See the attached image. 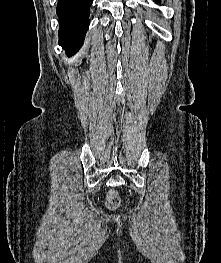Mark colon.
Masks as SVG:
<instances>
[{
  "instance_id": "colon-1",
  "label": "colon",
  "mask_w": 221,
  "mask_h": 263,
  "mask_svg": "<svg viewBox=\"0 0 221 263\" xmlns=\"http://www.w3.org/2000/svg\"><path fill=\"white\" fill-rule=\"evenodd\" d=\"M120 197L115 190H110L107 195L106 206L109 210H116L120 206Z\"/></svg>"
}]
</instances>
